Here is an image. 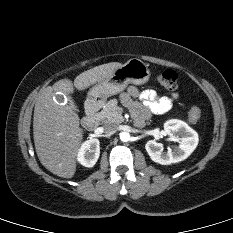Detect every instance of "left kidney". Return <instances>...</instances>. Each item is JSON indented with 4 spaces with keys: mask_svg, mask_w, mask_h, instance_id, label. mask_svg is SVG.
<instances>
[{
    "mask_svg": "<svg viewBox=\"0 0 233 233\" xmlns=\"http://www.w3.org/2000/svg\"><path fill=\"white\" fill-rule=\"evenodd\" d=\"M164 132L169 136L170 141H180V144L178 147L163 152L161 143L155 140L148 141L145 149L151 160L156 163L169 165L183 161L191 155L198 145V133L184 121L177 119L167 121L164 124Z\"/></svg>",
    "mask_w": 233,
    "mask_h": 233,
    "instance_id": "5707ae66",
    "label": "left kidney"
}]
</instances>
